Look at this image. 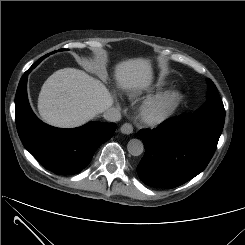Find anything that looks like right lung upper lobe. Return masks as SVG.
Here are the masks:
<instances>
[{
  "instance_id": "right-lung-upper-lobe-1",
  "label": "right lung upper lobe",
  "mask_w": 245,
  "mask_h": 245,
  "mask_svg": "<svg viewBox=\"0 0 245 245\" xmlns=\"http://www.w3.org/2000/svg\"><path fill=\"white\" fill-rule=\"evenodd\" d=\"M38 63V62H37ZM37 63H35L33 66L35 67L37 65Z\"/></svg>"
}]
</instances>
